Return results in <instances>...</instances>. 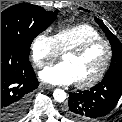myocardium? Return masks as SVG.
<instances>
[{"label":"myocardium","instance_id":"1","mask_svg":"<svg viewBox=\"0 0 122 122\" xmlns=\"http://www.w3.org/2000/svg\"><path fill=\"white\" fill-rule=\"evenodd\" d=\"M97 44H103L106 47L107 52H106V57H105L104 63L102 65V67L100 68V70L98 71V73L91 79L84 81V82H75L76 87L79 89H86V88L93 87L103 79V77L105 76V74L110 66L111 60H112V56H113L112 46H111L110 42L106 39H103V38L92 39V40H88L74 48L67 50L63 55V56H65V55L80 56L83 53H85L88 49H90L91 47H93Z\"/></svg>","mask_w":122,"mask_h":122}]
</instances>
